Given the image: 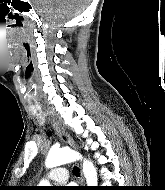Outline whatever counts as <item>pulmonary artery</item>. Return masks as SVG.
Instances as JSON below:
<instances>
[{
    "instance_id": "1",
    "label": "pulmonary artery",
    "mask_w": 165,
    "mask_h": 190,
    "mask_svg": "<svg viewBox=\"0 0 165 190\" xmlns=\"http://www.w3.org/2000/svg\"><path fill=\"white\" fill-rule=\"evenodd\" d=\"M49 178L56 183H65L69 178V173L64 167H57L49 173Z\"/></svg>"
}]
</instances>
